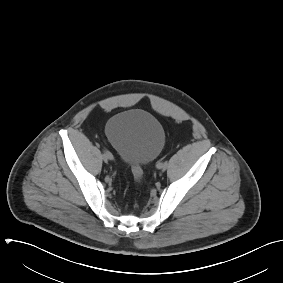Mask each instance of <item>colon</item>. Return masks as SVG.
<instances>
[{"label":"colon","mask_w":283,"mask_h":283,"mask_svg":"<svg viewBox=\"0 0 283 283\" xmlns=\"http://www.w3.org/2000/svg\"><path fill=\"white\" fill-rule=\"evenodd\" d=\"M132 173L137 184H140L143 179V171L140 165L132 166Z\"/></svg>","instance_id":"obj_1"}]
</instances>
